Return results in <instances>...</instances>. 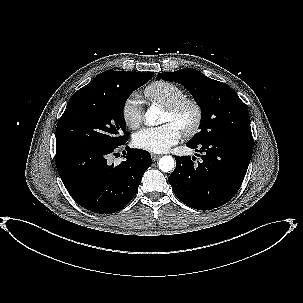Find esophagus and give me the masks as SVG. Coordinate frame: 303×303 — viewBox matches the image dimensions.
<instances>
[{"instance_id":"1","label":"esophagus","mask_w":303,"mask_h":303,"mask_svg":"<svg viewBox=\"0 0 303 303\" xmlns=\"http://www.w3.org/2000/svg\"><path fill=\"white\" fill-rule=\"evenodd\" d=\"M151 157H152L153 161H156V160H158L161 157V155H159V154H151Z\"/></svg>"}]
</instances>
